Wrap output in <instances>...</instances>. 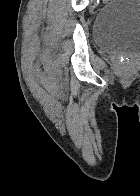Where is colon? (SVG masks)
<instances>
[{
    "instance_id": "obj_1",
    "label": "colon",
    "mask_w": 140,
    "mask_h": 196,
    "mask_svg": "<svg viewBox=\"0 0 140 196\" xmlns=\"http://www.w3.org/2000/svg\"><path fill=\"white\" fill-rule=\"evenodd\" d=\"M105 2H110L111 0H104Z\"/></svg>"
}]
</instances>
